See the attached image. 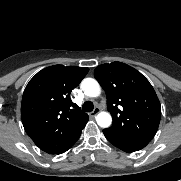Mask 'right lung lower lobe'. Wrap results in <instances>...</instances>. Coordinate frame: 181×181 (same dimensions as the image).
<instances>
[{"label":"right lung lower lobe","instance_id":"98d812e1","mask_svg":"<svg viewBox=\"0 0 181 181\" xmlns=\"http://www.w3.org/2000/svg\"><path fill=\"white\" fill-rule=\"evenodd\" d=\"M85 127V126H84ZM83 127V128H84ZM82 128V129H83ZM82 129L79 131L78 135L67 145L65 146L64 148H62L61 150L57 151V152H54V153H50V154H61V153H64L66 152L67 150H69L75 143L76 141L79 139L80 135H81V131ZM48 153V152H47Z\"/></svg>","mask_w":181,"mask_h":181}]
</instances>
